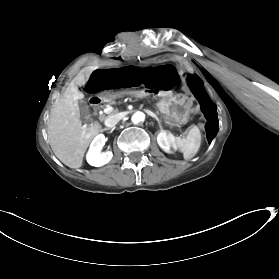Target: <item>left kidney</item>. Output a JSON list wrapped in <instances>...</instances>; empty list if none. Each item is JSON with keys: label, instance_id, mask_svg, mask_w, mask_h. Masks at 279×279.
Instances as JSON below:
<instances>
[{"label": "left kidney", "instance_id": "obj_1", "mask_svg": "<svg viewBox=\"0 0 279 279\" xmlns=\"http://www.w3.org/2000/svg\"><path fill=\"white\" fill-rule=\"evenodd\" d=\"M157 140L160 147L166 152H170V148L175 147V137L171 133H165L163 131H160Z\"/></svg>", "mask_w": 279, "mask_h": 279}]
</instances>
